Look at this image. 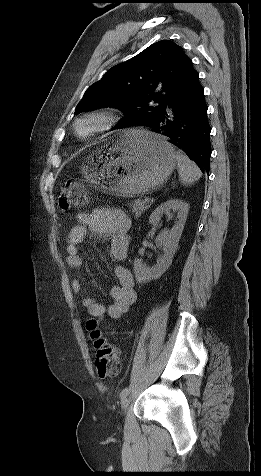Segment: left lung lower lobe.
<instances>
[{"instance_id": "1", "label": "left lung lower lobe", "mask_w": 261, "mask_h": 476, "mask_svg": "<svg viewBox=\"0 0 261 476\" xmlns=\"http://www.w3.org/2000/svg\"><path fill=\"white\" fill-rule=\"evenodd\" d=\"M207 104L199 75L193 71L181 90L153 120L144 123L155 129L167 141L209 173L211 127L207 118Z\"/></svg>"}]
</instances>
